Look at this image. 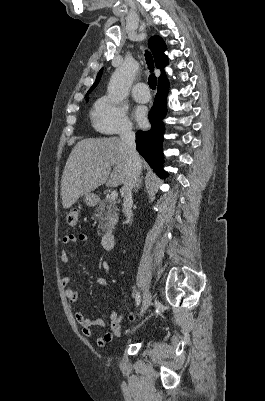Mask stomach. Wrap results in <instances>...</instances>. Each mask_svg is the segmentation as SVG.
Segmentation results:
<instances>
[{"mask_svg":"<svg viewBox=\"0 0 265 401\" xmlns=\"http://www.w3.org/2000/svg\"><path fill=\"white\" fill-rule=\"evenodd\" d=\"M84 201L88 207H94L97 203V196L93 192H88V194H84Z\"/></svg>","mask_w":265,"mask_h":401,"instance_id":"stomach-1","label":"stomach"}]
</instances>
